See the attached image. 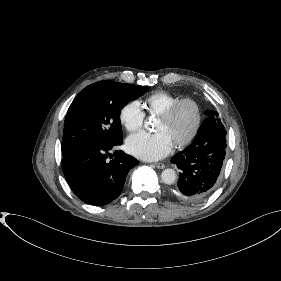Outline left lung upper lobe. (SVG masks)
I'll list each match as a JSON object with an SVG mask.
<instances>
[{
    "instance_id": "left-lung-upper-lobe-1",
    "label": "left lung upper lobe",
    "mask_w": 281,
    "mask_h": 281,
    "mask_svg": "<svg viewBox=\"0 0 281 281\" xmlns=\"http://www.w3.org/2000/svg\"><path fill=\"white\" fill-rule=\"evenodd\" d=\"M208 115H213L214 116V114L216 115V116H218V114L217 113H215V112H213V111H207L206 112ZM220 121V120H219ZM221 123V122H220Z\"/></svg>"
}]
</instances>
